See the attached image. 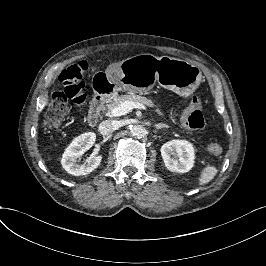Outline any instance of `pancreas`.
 Listing matches in <instances>:
<instances>
[{"label":"pancreas","mask_w":266,"mask_h":266,"mask_svg":"<svg viewBox=\"0 0 266 266\" xmlns=\"http://www.w3.org/2000/svg\"><path fill=\"white\" fill-rule=\"evenodd\" d=\"M125 100L133 101L135 103H141V104L146 105L148 107H155V104L153 103V101L151 99H148V98H146L144 96H140V95L130 94V95H124V96L118 97L116 100L112 101L108 105V108H113V107L117 106L120 102H123ZM155 111L158 115L163 116V113L159 108H156Z\"/></svg>","instance_id":"cf45deb5"}]
</instances>
